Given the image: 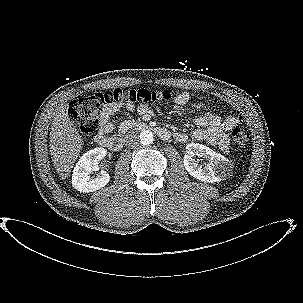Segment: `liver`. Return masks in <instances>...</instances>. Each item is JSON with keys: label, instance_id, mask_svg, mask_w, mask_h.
<instances>
[{"label": "liver", "instance_id": "obj_1", "mask_svg": "<svg viewBox=\"0 0 303 303\" xmlns=\"http://www.w3.org/2000/svg\"><path fill=\"white\" fill-rule=\"evenodd\" d=\"M68 108L65 102L58 105L49 141L52 162L61 179L68 178L82 149L81 136L68 117Z\"/></svg>", "mask_w": 303, "mask_h": 303}]
</instances>
